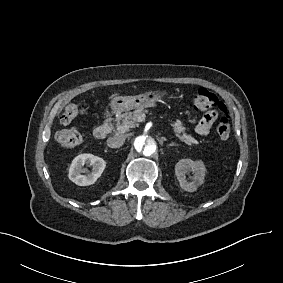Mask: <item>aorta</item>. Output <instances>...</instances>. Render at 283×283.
I'll use <instances>...</instances> for the list:
<instances>
[{"mask_svg":"<svg viewBox=\"0 0 283 283\" xmlns=\"http://www.w3.org/2000/svg\"><path fill=\"white\" fill-rule=\"evenodd\" d=\"M159 147V139L151 133H140L132 141V153L142 160L156 158Z\"/></svg>","mask_w":283,"mask_h":283,"instance_id":"aorta-1","label":"aorta"}]
</instances>
